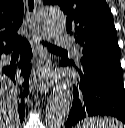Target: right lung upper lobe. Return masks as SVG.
I'll return each instance as SVG.
<instances>
[{
	"mask_svg": "<svg viewBox=\"0 0 125 128\" xmlns=\"http://www.w3.org/2000/svg\"><path fill=\"white\" fill-rule=\"evenodd\" d=\"M23 0H0V52L23 40L17 30L23 21Z\"/></svg>",
	"mask_w": 125,
	"mask_h": 128,
	"instance_id": "1",
	"label": "right lung upper lobe"
}]
</instances>
